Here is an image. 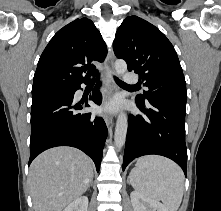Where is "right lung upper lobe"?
Listing matches in <instances>:
<instances>
[{
	"label": "right lung upper lobe",
	"mask_w": 221,
	"mask_h": 211,
	"mask_svg": "<svg viewBox=\"0 0 221 211\" xmlns=\"http://www.w3.org/2000/svg\"><path fill=\"white\" fill-rule=\"evenodd\" d=\"M106 55V44L94 23L85 17L76 19L60 29L44 49L32 91L87 82L96 69L91 62H103Z\"/></svg>",
	"instance_id": "cb5924a9"
}]
</instances>
